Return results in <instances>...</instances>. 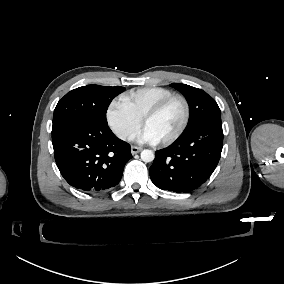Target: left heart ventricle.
<instances>
[{
    "label": "left heart ventricle",
    "mask_w": 284,
    "mask_h": 284,
    "mask_svg": "<svg viewBox=\"0 0 284 284\" xmlns=\"http://www.w3.org/2000/svg\"><path fill=\"white\" fill-rule=\"evenodd\" d=\"M184 115V105L181 100L173 101L158 116L146 120L142 126L149 129L158 142L171 136L180 126Z\"/></svg>",
    "instance_id": "b2bd125f"
}]
</instances>
